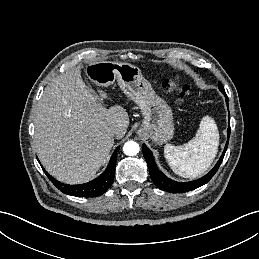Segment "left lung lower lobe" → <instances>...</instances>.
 Segmentation results:
<instances>
[{
    "label": "left lung lower lobe",
    "mask_w": 259,
    "mask_h": 259,
    "mask_svg": "<svg viewBox=\"0 0 259 259\" xmlns=\"http://www.w3.org/2000/svg\"><path fill=\"white\" fill-rule=\"evenodd\" d=\"M226 98V102L228 105V97L226 93H223ZM228 135H230V126L228 127L227 130ZM229 140V137H228ZM228 146V141L225 145V149L222 153V156L220 157L219 161L215 165V167L204 177L199 178L197 180L191 181V182H177L169 179L166 177L158 168L157 165L155 164L154 157L152 152L147 148L145 144H143V155L145 157V160L148 164L149 172L151 179L153 180L154 184L161 190L171 192V193H183V192H188L191 190H194L198 187H201L202 185L206 184L216 173L218 170L219 166L221 165V162L223 160V157L225 155V152L227 150Z\"/></svg>",
    "instance_id": "obj_1"
}]
</instances>
